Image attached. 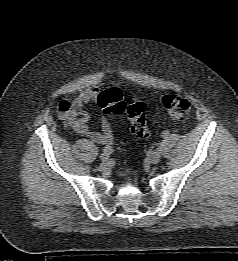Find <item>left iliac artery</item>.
Here are the masks:
<instances>
[{
	"mask_svg": "<svg viewBox=\"0 0 238 261\" xmlns=\"http://www.w3.org/2000/svg\"><path fill=\"white\" fill-rule=\"evenodd\" d=\"M169 132L168 131H164L163 133H162V137L163 138H167L168 136H169Z\"/></svg>",
	"mask_w": 238,
	"mask_h": 261,
	"instance_id": "44dca946",
	"label": "left iliac artery"
}]
</instances>
